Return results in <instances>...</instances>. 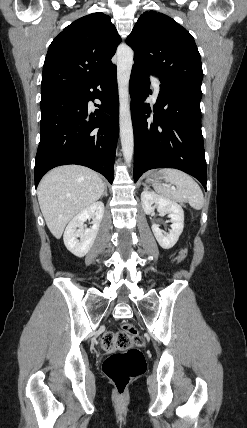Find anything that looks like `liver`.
<instances>
[{
  "instance_id": "liver-1",
  "label": "liver",
  "mask_w": 247,
  "mask_h": 428,
  "mask_svg": "<svg viewBox=\"0 0 247 428\" xmlns=\"http://www.w3.org/2000/svg\"><path fill=\"white\" fill-rule=\"evenodd\" d=\"M104 183L93 170L78 165L57 167L38 186V201L46 224L60 239L68 224L81 211L100 199Z\"/></svg>"
}]
</instances>
